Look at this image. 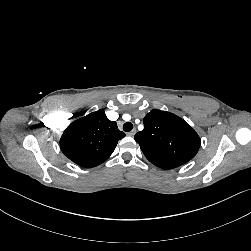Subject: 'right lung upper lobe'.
I'll list each match as a JSON object with an SVG mask.
<instances>
[{
	"label": "right lung upper lobe",
	"instance_id": "1",
	"mask_svg": "<svg viewBox=\"0 0 251 251\" xmlns=\"http://www.w3.org/2000/svg\"><path fill=\"white\" fill-rule=\"evenodd\" d=\"M124 136L116 122L98 110L72 122L60 139V147L74 163L91 168L105 162Z\"/></svg>",
	"mask_w": 251,
	"mask_h": 251
}]
</instances>
